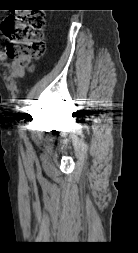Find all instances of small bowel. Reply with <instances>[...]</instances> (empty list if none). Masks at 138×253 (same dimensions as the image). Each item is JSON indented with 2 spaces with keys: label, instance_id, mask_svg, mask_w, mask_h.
Instances as JSON below:
<instances>
[{
  "label": "small bowel",
  "instance_id": "obj_1",
  "mask_svg": "<svg viewBox=\"0 0 138 253\" xmlns=\"http://www.w3.org/2000/svg\"><path fill=\"white\" fill-rule=\"evenodd\" d=\"M0 60L4 63L10 64L12 68L11 76L13 78H20L23 76V67L17 61H9V58L5 51L0 50Z\"/></svg>",
  "mask_w": 138,
  "mask_h": 253
}]
</instances>
